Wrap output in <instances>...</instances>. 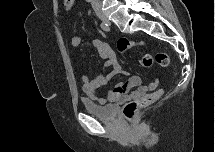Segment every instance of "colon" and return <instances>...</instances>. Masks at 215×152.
Masks as SVG:
<instances>
[{
	"label": "colon",
	"mask_w": 215,
	"mask_h": 152,
	"mask_svg": "<svg viewBox=\"0 0 215 152\" xmlns=\"http://www.w3.org/2000/svg\"><path fill=\"white\" fill-rule=\"evenodd\" d=\"M77 4L76 0H64L63 5L66 11H72ZM138 44L132 41H129L127 39H121L118 42V50L120 52L126 51L129 47ZM142 44V43H139ZM154 62H156L158 65L162 67H168L171 64L170 56L167 52L164 51H158L154 55L146 54L142 56L139 60V63L142 67L149 68L151 67ZM162 95V90H157L156 92L149 94L140 100L130 101L126 103L123 107V115L131 119L139 109L142 107H145L158 99Z\"/></svg>",
	"instance_id": "obj_1"
}]
</instances>
